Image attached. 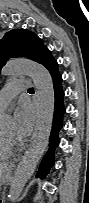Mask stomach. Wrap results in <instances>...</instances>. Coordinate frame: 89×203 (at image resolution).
<instances>
[{"instance_id": "stomach-1", "label": "stomach", "mask_w": 89, "mask_h": 203, "mask_svg": "<svg viewBox=\"0 0 89 203\" xmlns=\"http://www.w3.org/2000/svg\"><path fill=\"white\" fill-rule=\"evenodd\" d=\"M10 172H11V166H9V167L6 169V175H5L4 179H3V182H4V183L8 182V178H9Z\"/></svg>"}]
</instances>
